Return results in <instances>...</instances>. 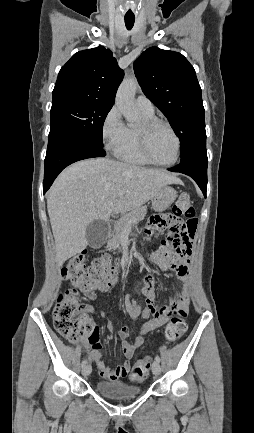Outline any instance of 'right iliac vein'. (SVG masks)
Returning a JSON list of instances; mask_svg holds the SVG:
<instances>
[{"label": "right iliac vein", "instance_id": "obj_1", "mask_svg": "<svg viewBox=\"0 0 254 433\" xmlns=\"http://www.w3.org/2000/svg\"><path fill=\"white\" fill-rule=\"evenodd\" d=\"M90 373H91V366H90V365H85V366L82 368V374H83L84 376H88Z\"/></svg>", "mask_w": 254, "mask_h": 433}]
</instances>
